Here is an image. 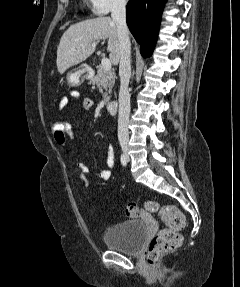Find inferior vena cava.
<instances>
[{
    "label": "inferior vena cava",
    "mask_w": 240,
    "mask_h": 287,
    "mask_svg": "<svg viewBox=\"0 0 240 287\" xmlns=\"http://www.w3.org/2000/svg\"><path fill=\"white\" fill-rule=\"evenodd\" d=\"M126 0H113L111 17L117 27L119 38V116H118V140L122 148L128 147L129 142V116L130 93L128 91L131 77V42L126 24Z\"/></svg>",
    "instance_id": "obj_1"
}]
</instances>
